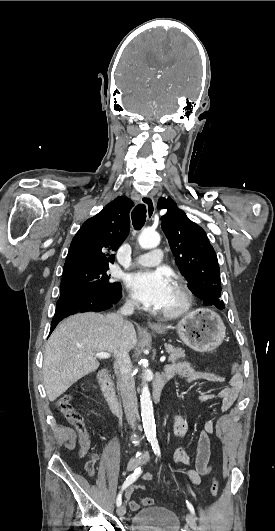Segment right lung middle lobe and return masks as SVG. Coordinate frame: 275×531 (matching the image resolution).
<instances>
[{
    "label": "right lung middle lobe",
    "mask_w": 275,
    "mask_h": 531,
    "mask_svg": "<svg viewBox=\"0 0 275 531\" xmlns=\"http://www.w3.org/2000/svg\"><path fill=\"white\" fill-rule=\"evenodd\" d=\"M108 269L109 267L86 266L64 271L60 288L81 286L91 288L102 295L115 293L120 288V284L109 281Z\"/></svg>",
    "instance_id": "right-lung-middle-lobe-1"
}]
</instances>
